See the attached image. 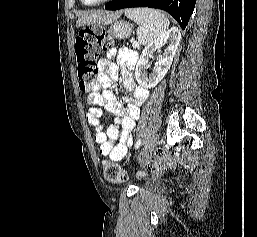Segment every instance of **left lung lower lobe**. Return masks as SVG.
Segmentation results:
<instances>
[{
    "label": "left lung lower lobe",
    "instance_id": "0a47b994",
    "mask_svg": "<svg viewBox=\"0 0 257 237\" xmlns=\"http://www.w3.org/2000/svg\"><path fill=\"white\" fill-rule=\"evenodd\" d=\"M196 0H112L107 3V10L132 7H150L168 12L185 29L195 7Z\"/></svg>",
    "mask_w": 257,
    "mask_h": 237
}]
</instances>
